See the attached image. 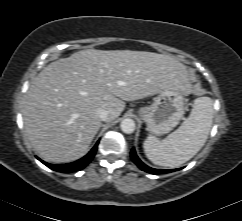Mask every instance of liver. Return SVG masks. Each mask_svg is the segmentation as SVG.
I'll return each mask as SVG.
<instances>
[{"mask_svg":"<svg viewBox=\"0 0 242 221\" xmlns=\"http://www.w3.org/2000/svg\"><path fill=\"white\" fill-rule=\"evenodd\" d=\"M187 66L146 51L87 49L47 65L31 82L23 105L27 139L45 161L68 163L84 156L102 123L123 112L124 101L162 90H190Z\"/></svg>","mask_w":242,"mask_h":221,"instance_id":"1","label":"liver"}]
</instances>
